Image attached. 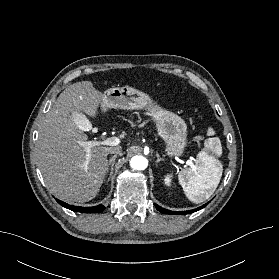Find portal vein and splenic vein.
<instances>
[{
  "instance_id": "18ae733b",
  "label": "portal vein and splenic vein",
  "mask_w": 279,
  "mask_h": 279,
  "mask_svg": "<svg viewBox=\"0 0 279 279\" xmlns=\"http://www.w3.org/2000/svg\"><path fill=\"white\" fill-rule=\"evenodd\" d=\"M82 130L86 131L87 127L85 125L79 126ZM120 143V139L118 137H110L105 140H99V141H87L82 143V146L85 147L86 151V164H88L91 154H90V149L94 146H117ZM188 165H192V161L188 160L187 161Z\"/></svg>"
}]
</instances>
